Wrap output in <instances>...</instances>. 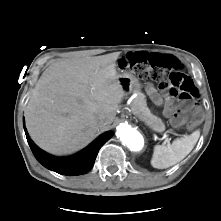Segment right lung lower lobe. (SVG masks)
<instances>
[{
    "instance_id": "obj_1",
    "label": "right lung lower lobe",
    "mask_w": 221,
    "mask_h": 221,
    "mask_svg": "<svg viewBox=\"0 0 221 221\" xmlns=\"http://www.w3.org/2000/svg\"><path fill=\"white\" fill-rule=\"evenodd\" d=\"M28 144L35 158L46 168L62 175H81L91 170L96 156L102 145L113 135L111 131L105 132L93 141L88 147L69 157H54L47 154L30 139L24 126Z\"/></svg>"
}]
</instances>
